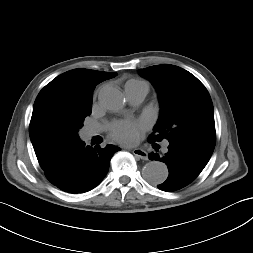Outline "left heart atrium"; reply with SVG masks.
I'll use <instances>...</instances> for the list:
<instances>
[{
	"label": "left heart atrium",
	"mask_w": 253,
	"mask_h": 253,
	"mask_svg": "<svg viewBox=\"0 0 253 253\" xmlns=\"http://www.w3.org/2000/svg\"><path fill=\"white\" fill-rule=\"evenodd\" d=\"M146 127L143 120H125L116 122L110 130L111 137L121 143L129 144L136 141L141 130Z\"/></svg>",
	"instance_id": "left-heart-atrium-1"
}]
</instances>
